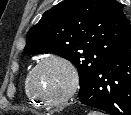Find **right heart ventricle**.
<instances>
[{
	"mask_svg": "<svg viewBox=\"0 0 131 115\" xmlns=\"http://www.w3.org/2000/svg\"><path fill=\"white\" fill-rule=\"evenodd\" d=\"M23 87H24V93H25L26 98L29 101V103H31L34 106H40V103L34 97H32L31 94L28 91V88H27V76L24 79Z\"/></svg>",
	"mask_w": 131,
	"mask_h": 115,
	"instance_id": "right-heart-ventricle-1",
	"label": "right heart ventricle"
}]
</instances>
